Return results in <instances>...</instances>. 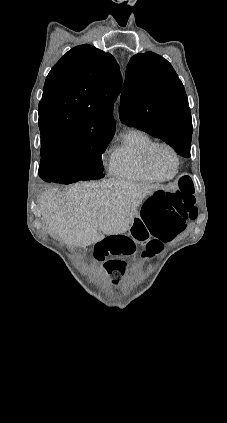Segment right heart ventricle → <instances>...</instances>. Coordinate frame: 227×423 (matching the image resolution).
<instances>
[{"label": "right heart ventricle", "mask_w": 227, "mask_h": 423, "mask_svg": "<svg viewBox=\"0 0 227 423\" xmlns=\"http://www.w3.org/2000/svg\"><path fill=\"white\" fill-rule=\"evenodd\" d=\"M153 142L150 135L140 129H127L119 145L110 157V174L114 177L142 183H156L159 180L152 177L145 169L143 154Z\"/></svg>", "instance_id": "e07e8e85"}]
</instances>
